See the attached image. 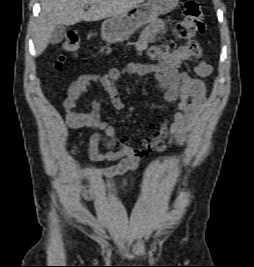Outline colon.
I'll return each instance as SVG.
<instances>
[{
    "mask_svg": "<svg viewBox=\"0 0 254 267\" xmlns=\"http://www.w3.org/2000/svg\"><path fill=\"white\" fill-rule=\"evenodd\" d=\"M205 29L204 15L197 0H187L182 18L174 25L173 33L176 40H191ZM175 42L153 45L147 55L155 61L167 59L175 51ZM79 49V38L76 32L70 31L62 42L63 54L58 58L55 67L61 69L67 56L75 54ZM104 51H107L104 49Z\"/></svg>",
    "mask_w": 254,
    "mask_h": 267,
    "instance_id": "5ec220e1",
    "label": "colon"
}]
</instances>
